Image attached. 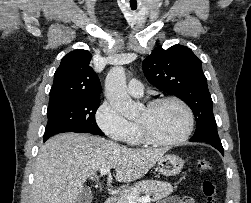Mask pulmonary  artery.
<instances>
[{
	"instance_id": "e3ab8cb5",
	"label": "pulmonary artery",
	"mask_w": 251,
	"mask_h": 203,
	"mask_svg": "<svg viewBox=\"0 0 251 203\" xmlns=\"http://www.w3.org/2000/svg\"><path fill=\"white\" fill-rule=\"evenodd\" d=\"M128 92L134 97H141L144 92L143 84L138 79H131L128 83Z\"/></svg>"
}]
</instances>
